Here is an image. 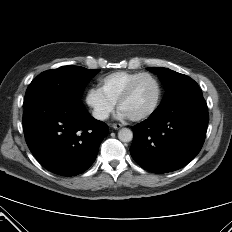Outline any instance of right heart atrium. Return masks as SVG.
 I'll return each mask as SVG.
<instances>
[{
  "label": "right heart atrium",
  "instance_id": "obj_1",
  "mask_svg": "<svg viewBox=\"0 0 232 232\" xmlns=\"http://www.w3.org/2000/svg\"><path fill=\"white\" fill-rule=\"evenodd\" d=\"M85 102L92 116L98 121L107 120L115 108V104L106 99L102 92L95 87L87 90Z\"/></svg>",
  "mask_w": 232,
  "mask_h": 232
}]
</instances>
